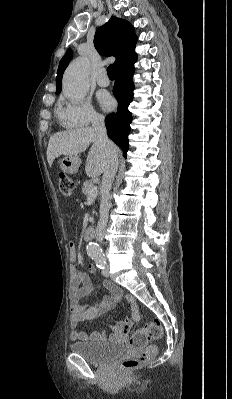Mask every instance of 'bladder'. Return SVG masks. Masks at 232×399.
Returning a JSON list of instances; mask_svg holds the SVG:
<instances>
[{
    "instance_id": "bladder-1",
    "label": "bladder",
    "mask_w": 232,
    "mask_h": 399,
    "mask_svg": "<svg viewBox=\"0 0 232 399\" xmlns=\"http://www.w3.org/2000/svg\"><path fill=\"white\" fill-rule=\"evenodd\" d=\"M70 349L74 354L93 364L104 363L125 352L124 344L104 341H77L70 345Z\"/></svg>"
}]
</instances>
